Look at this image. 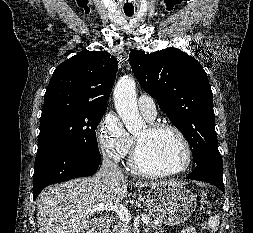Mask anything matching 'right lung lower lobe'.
<instances>
[{
  "mask_svg": "<svg viewBox=\"0 0 253 233\" xmlns=\"http://www.w3.org/2000/svg\"><path fill=\"white\" fill-rule=\"evenodd\" d=\"M100 159L101 156L59 146L37 151L33 175L34 199L50 184L94 174Z\"/></svg>",
  "mask_w": 253,
  "mask_h": 233,
  "instance_id": "1",
  "label": "right lung lower lobe"
}]
</instances>
